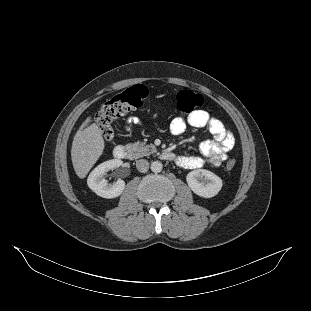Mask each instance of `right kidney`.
I'll list each match as a JSON object with an SVG mask.
<instances>
[{"instance_id":"ca27d5eb","label":"right kidney","mask_w":311,"mask_h":311,"mask_svg":"<svg viewBox=\"0 0 311 311\" xmlns=\"http://www.w3.org/2000/svg\"><path fill=\"white\" fill-rule=\"evenodd\" d=\"M124 164L121 159L107 160L95 167L87 178V184L96 194L104 198H114L120 195L125 187V182L118 179L115 183H108L103 175L111 168H117Z\"/></svg>"}]
</instances>
